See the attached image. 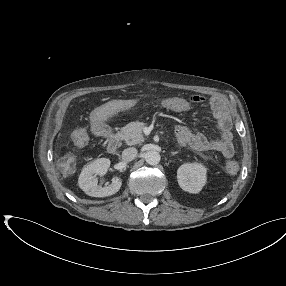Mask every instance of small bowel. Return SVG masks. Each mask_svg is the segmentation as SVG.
<instances>
[{"mask_svg":"<svg viewBox=\"0 0 286 286\" xmlns=\"http://www.w3.org/2000/svg\"><path fill=\"white\" fill-rule=\"evenodd\" d=\"M195 103H204V99L193 97ZM191 101L182 98H169L162 102V105L174 112H187L191 109ZM209 105L218 120L220 137L216 140L209 139L202 132H193L186 126L176 128V137L180 144H188L198 151H213L220 153L225 158L233 157L235 148L231 132L232 121L225 101L220 97H213Z\"/></svg>","mask_w":286,"mask_h":286,"instance_id":"small-bowel-1","label":"small bowel"}]
</instances>
